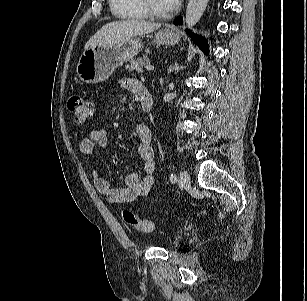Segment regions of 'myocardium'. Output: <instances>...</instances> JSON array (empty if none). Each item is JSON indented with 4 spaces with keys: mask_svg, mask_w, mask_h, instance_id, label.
Masks as SVG:
<instances>
[{
    "mask_svg": "<svg viewBox=\"0 0 307 301\" xmlns=\"http://www.w3.org/2000/svg\"><path fill=\"white\" fill-rule=\"evenodd\" d=\"M139 2H140V5H141L142 9L150 17H153V18H164V17L169 16L172 13L171 9L166 11V12H159V11L155 10L151 6L149 0H139Z\"/></svg>",
    "mask_w": 307,
    "mask_h": 301,
    "instance_id": "f54148a6",
    "label": "myocardium"
}]
</instances>
